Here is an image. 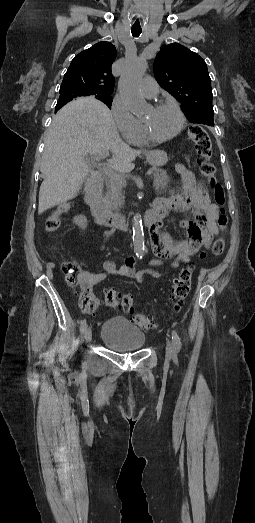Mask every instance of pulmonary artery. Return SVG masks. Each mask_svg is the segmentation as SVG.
Instances as JSON below:
<instances>
[{"label":"pulmonary artery","mask_w":255,"mask_h":523,"mask_svg":"<svg viewBox=\"0 0 255 523\" xmlns=\"http://www.w3.org/2000/svg\"><path fill=\"white\" fill-rule=\"evenodd\" d=\"M154 77L149 76L141 83V91L144 96L148 98L156 97L158 94V86Z\"/></svg>","instance_id":"pulmonary-artery-1"}]
</instances>
